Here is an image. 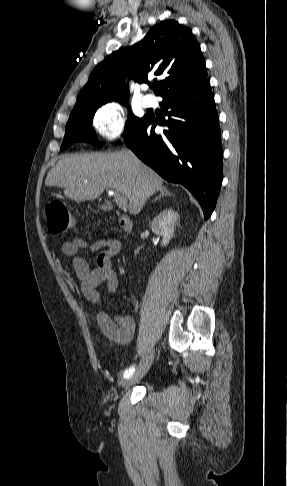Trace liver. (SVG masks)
Masks as SVG:
<instances>
[{
    "mask_svg": "<svg viewBox=\"0 0 287 486\" xmlns=\"http://www.w3.org/2000/svg\"><path fill=\"white\" fill-rule=\"evenodd\" d=\"M45 184L63 188L75 201L94 200L105 189L116 191L128 199L129 211L136 215L161 189L163 179L125 150L65 156L47 174Z\"/></svg>",
    "mask_w": 287,
    "mask_h": 486,
    "instance_id": "6515ba94",
    "label": "liver"
}]
</instances>
